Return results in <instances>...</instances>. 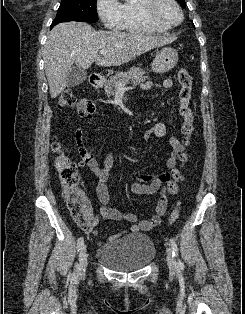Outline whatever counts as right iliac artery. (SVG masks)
I'll use <instances>...</instances> for the list:
<instances>
[{
	"label": "right iliac artery",
	"instance_id": "obj_1",
	"mask_svg": "<svg viewBox=\"0 0 245 314\" xmlns=\"http://www.w3.org/2000/svg\"><path fill=\"white\" fill-rule=\"evenodd\" d=\"M83 243H84V238L81 237V238L79 239L78 243H77V249H78V251H79L80 248L82 247ZM75 268H77V265L75 266ZM73 275L75 276V273H74Z\"/></svg>",
	"mask_w": 245,
	"mask_h": 314
}]
</instances>
